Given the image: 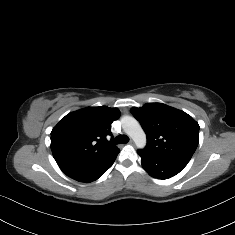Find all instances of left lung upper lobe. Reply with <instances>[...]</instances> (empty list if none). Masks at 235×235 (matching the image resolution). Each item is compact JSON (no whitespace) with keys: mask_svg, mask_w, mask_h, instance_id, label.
Listing matches in <instances>:
<instances>
[{"mask_svg":"<svg viewBox=\"0 0 235 235\" xmlns=\"http://www.w3.org/2000/svg\"><path fill=\"white\" fill-rule=\"evenodd\" d=\"M132 115L147 135L143 151L188 163L199 141V124L187 113L162 103L133 107Z\"/></svg>","mask_w":235,"mask_h":235,"instance_id":"left-lung-upper-lobe-1","label":"left lung upper lobe"}]
</instances>
